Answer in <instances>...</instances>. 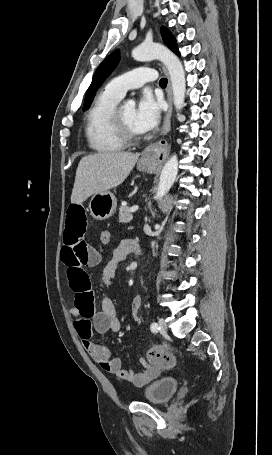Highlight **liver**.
<instances>
[{
  "label": "liver",
  "instance_id": "1",
  "mask_svg": "<svg viewBox=\"0 0 272 455\" xmlns=\"http://www.w3.org/2000/svg\"><path fill=\"white\" fill-rule=\"evenodd\" d=\"M139 156V153L110 152L83 157L76 170L71 203L80 204L94 194L122 184Z\"/></svg>",
  "mask_w": 272,
  "mask_h": 455
}]
</instances>
